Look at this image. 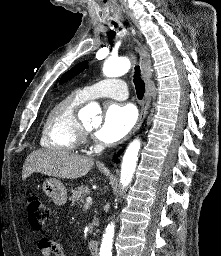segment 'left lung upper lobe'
I'll return each instance as SVG.
<instances>
[{"instance_id": "left-lung-upper-lobe-1", "label": "left lung upper lobe", "mask_w": 221, "mask_h": 256, "mask_svg": "<svg viewBox=\"0 0 221 256\" xmlns=\"http://www.w3.org/2000/svg\"><path fill=\"white\" fill-rule=\"evenodd\" d=\"M88 65L87 61H83L79 64H77L76 66H74L72 69H70L69 71H67L62 78L60 79V83L73 78L75 75L81 73Z\"/></svg>"}]
</instances>
